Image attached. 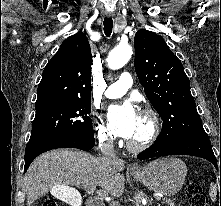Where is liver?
Masks as SVG:
<instances>
[{"label": "liver", "instance_id": "1", "mask_svg": "<svg viewBox=\"0 0 221 206\" xmlns=\"http://www.w3.org/2000/svg\"><path fill=\"white\" fill-rule=\"evenodd\" d=\"M124 167L123 160L94 157L74 149L43 153L32 162L24 177L27 206L53 189L69 191L73 189L71 187L89 189L100 186L105 193L119 197L125 189L121 173Z\"/></svg>", "mask_w": 221, "mask_h": 206}]
</instances>
